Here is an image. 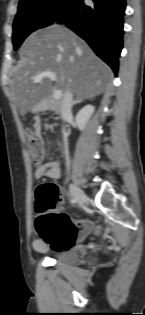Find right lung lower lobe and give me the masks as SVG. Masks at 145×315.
Returning a JSON list of instances; mask_svg holds the SVG:
<instances>
[{"label": "right lung lower lobe", "instance_id": "right-lung-lower-lobe-1", "mask_svg": "<svg viewBox=\"0 0 145 315\" xmlns=\"http://www.w3.org/2000/svg\"><path fill=\"white\" fill-rule=\"evenodd\" d=\"M87 6L83 0H72L57 22L65 23L91 46L115 73L118 72L123 48V17L125 0H93Z\"/></svg>", "mask_w": 145, "mask_h": 315}]
</instances>
